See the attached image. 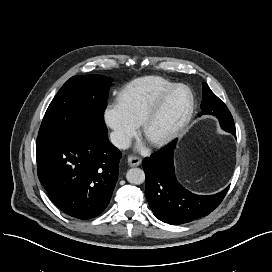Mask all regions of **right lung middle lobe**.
<instances>
[{
	"mask_svg": "<svg viewBox=\"0 0 272 272\" xmlns=\"http://www.w3.org/2000/svg\"><path fill=\"white\" fill-rule=\"evenodd\" d=\"M110 82V78L100 75L70 78L50 103L38 137L72 132L107 133L103 114Z\"/></svg>",
	"mask_w": 272,
	"mask_h": 272,
	"instance_id": "right-lung-middle-lobe-1",
	"label": "right lung middle lobe"
}]
</instances>
